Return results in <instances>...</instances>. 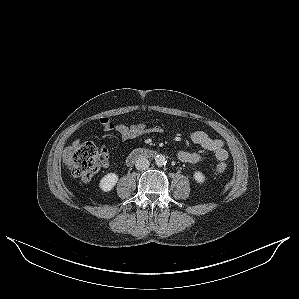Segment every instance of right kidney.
Returning <instances> with one entry per match:
<instances>
[{"label":"right kidney","mask_w":299,"mask_h":299,"mask_svg":"<svg viewBox=\"0 0 299 299\" xmlns=\"http://www.w3.org/2000/svg\"><path fill=\"white\" fill-rule=\"evenodd\" d=\"M118 181V175L115 173H108L102 177L99 186L104 192H108L114 188Z\"/></svg>","instance_id":"ca27d5eb"}]
</instances>
